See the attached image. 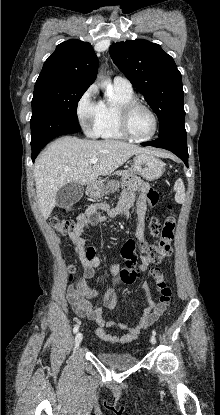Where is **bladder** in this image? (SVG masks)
Masks as SVG:
<instances>
[{"instance_id":"1","label":"bladder","mask_w":220,"mask_h":415,"mask_svg":"<svg viewBox=\"0 0 220 415\" xmlns=\"http://www.w3.org/2000/svg\"><path fill=\"white\" fill-rule=\"evenodd\" d=\"M97 357L104 363L121 369H128L138 363V359L131 353L100 351Z\"/></svg>"}]
</instances>
